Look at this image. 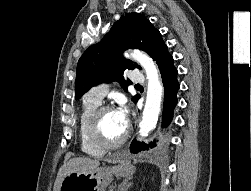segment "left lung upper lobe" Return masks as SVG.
Masks as SVG:
<instances>
[{
	"mask_svg": "<svg viewBox=\"0 0 251 191\" xmlns=\"http://www.w3.org/2000/svg\"><path fill=\"white\" fill-rule=\"evenodd\" d=\"M138 48L147 52L153 60L167 50L160 32L139 13H127L114 23L109 33L97 44L90 46L80 57L76 71V99L101 82L118 81L126 88L123 73L127 69H141L125 59L123 51ZM127 91V89H125ZM139 98L134 96V102Z\"/></svg>",
	"mask_w": 251,
	"mask_h": 191,
	"instance_id": "5c2ea615",
	"label": "left lung upper lobe"
}]
</instances>
